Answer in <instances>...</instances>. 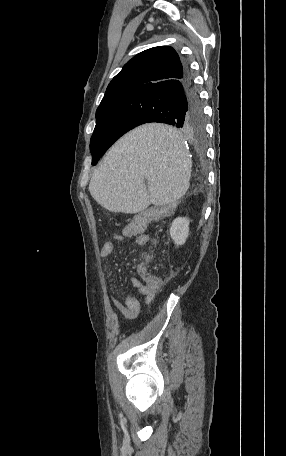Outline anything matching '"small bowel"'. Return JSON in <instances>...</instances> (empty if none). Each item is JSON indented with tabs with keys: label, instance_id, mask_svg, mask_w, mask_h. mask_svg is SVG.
I'll return each mask as SVG.
<instances>
[{
	"label": "small bowel",
	"instance_id": "obj_1",
	"mask_svg": "<svg viewBox=\"0 0 286 456\" xmlns=\"http://www.w3.org/2000/svg\"><path fill=\"white\" fill-rule=\"evenodd\" d=\"M129 236L130 235L124 233L121 236V238H127ZM148 241L149 237L147 234H140L135 238V244L138 247L146 246ZM114 247L115 245L112 241L105 242L100 249L101 257L109 258L114 251ZM132 285L143 296L144 303L147 306H150L156 297V291H151L142 285H138L134 278H132ZM111 301L116 311L125 319L135 318L138 315L141 308L139 299L132 295H125L122 300H119L116 297H112Z\"/></svg>",
	"mask_w": 286,
	"mask_h": 456
}]
</instances>
